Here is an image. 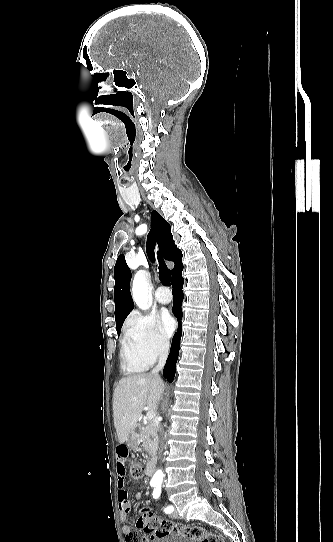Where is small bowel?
<instances>
[{"label": "small bowel", "mask_w": 333, "mask_h": 542, "mask_svg": "<svg viewBox=\"0 0 333 542\" xmlns=\"http://www.w3.org/2000/svg\"><path fill=\"white\" fill-rule=\"evenodd\" d=\"M128 455L129 452L126 445L121 444L120 446H118L116 460L117 499L118 509L122 520H125L131 512V504L129 501L128 491L126 489V461L128 459ZM141 484L143 486H146L148 484V478L146 476H143L141 478ZM139 491L142 493L144 490L141 488ZM139 497L140 496L137 495V499H139ZM122 531L126 535L127 540L128 535L133 531V529L129 525H124Z\"/></svg>", "instance_id": "obj_1"}]
</instances>
